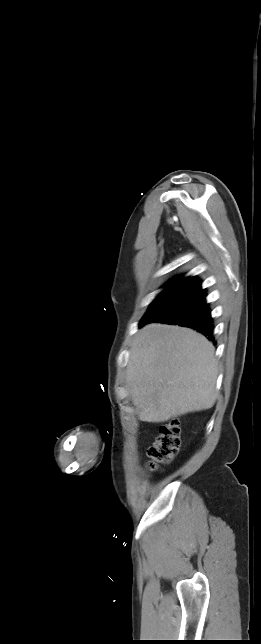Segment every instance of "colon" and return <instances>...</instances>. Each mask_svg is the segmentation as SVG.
<instances>
[{"label": "colon", "mask_w": 261, "mask_h": 644, "mask_svg": "<svg viewBox=\"0 0 261 644\" xmlns=\"http://www.w3.org/2000/svg\"><path fill=\"white\" fill-rule=\"evenodd\" d=\"M180 423L172 419L163 423L154 443L148 450V467L150 470H157L161 465L170 463L179 451Z\"/></svg>", "instance_id": "colon-1"}]
</instances>
